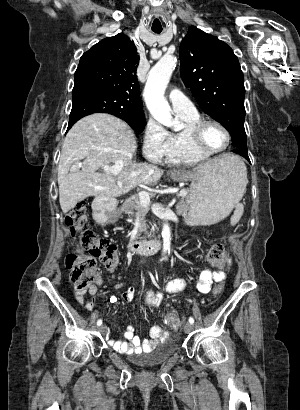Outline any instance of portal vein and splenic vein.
I'll return each mask as SVG.
<instances>
[{
  "label": "portal vein and splenic vein",
  "instance_id": "portal-vein-and-splenic-vein-1",
  "mask_svg": "<svg viewBox=\"0 0 300 410\" xmlns=\"http://www.w3.org/2000/svg\"><path fill=\"white\" fill-rule=\"evenodd\" d=\"M122 166H123V163L118 161L111 168V171L113 173H117L122 169ZM179 194L180 196L184 197V196H187L188 192L186 190H181ZM138 195H139V199L142 205L147 208L150 205L149 193H147L146 191H140Z\"/></svg>",
  "mask_w": 300,
  "mask_h": 410
}]
</instances>
